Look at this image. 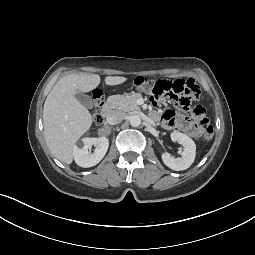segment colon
Returning <instances> with one entry per match:
<instances>
[{"label": "colon", "mask_w": 255, "mask_h": 255, "mask_svg": "<svg viewBox=\"0 0 255 255\" xmlns=\"http://www.w3.org/2000/svg\"><path fill=\"white\" fill-rule=\"evenodd\" d=\"M133 85L152 97L154 104H158L161 99L167 97L178 105L183 111L190 114L200 125L205 127L203 138L210 141L213 138L214 130L208 123L205 110L201 106H191L192 102L200 95V88L193 79L175 81H153L146 76H137L133 80ZM103 105V95L100 91L94 94L93 122L100 125L103 117L100 108Z\"/></svg>", "instance_id": "obj_1"}]
</instances>
